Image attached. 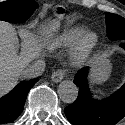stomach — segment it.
Segmentation results:
<instances>
[{"mask_svg": "<svg viewBox=\"0 0 125 125\" xmlns=\"http://www.w3.org/2000/svg\"><path fill=\"white\" fill-rule=\"evenodd\" d=\"M56 12L60 18H64L65 10L62 8H56ZM93 70H92V80L96 84H100L106 81L110 75L111 65L110 60L104 54H98L93 58L92 61Z\"/></svg>", "mask_w": 125, "mask_h": 125, "instance_id": "obj_1", "label": "stomach"}]
</instances>
